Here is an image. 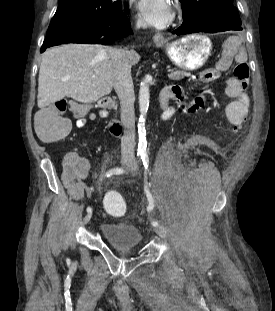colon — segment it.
<instances>
[{
  "instance_id": "1",
  "label": "colon",
  "mask_w": 275,
  "mask_h": 311,
  "mask_svg": "<svg viewBox=\"0 0 275 311\" xmlns=\"http://www.w3.org/2000/svg\"><path fill=\"white\" fill-rule=\"evenodd\" d=\"M235 77L243 88L247 87L249 67L245 62H238L234 68ZM66 109L78 111L75 103L58 101L53 106L41 111L36 117V131L40 138L56 141L65 138L70 132L69 122L63 117ZM105 209L112 215H119L125 211V205L120 197V190H105Z\"/></svg>"
}]
</instances>
